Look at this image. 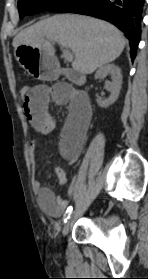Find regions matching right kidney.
Wrapping results in <instances>:
<instances>
[{"label":"right kidney","instance_id":"1","mask_svg":"<svg viewBox=\"0 0 148 279\" xmlns=\"http://www.w3.org/2000/svg\"><path fill=\"white\" fill-rule=\"evenodd\" d=\"M107 75H111L112 81L106 82V89L111 93L108 99L102 100L97 99V104L102 108H107L114 104L119 97L122 75L121 70L118 66L114 64H107L102 66L95 74V79L105 78Z\"/></svg>","mask_w":148,"mask_h":279}]
</instances>
